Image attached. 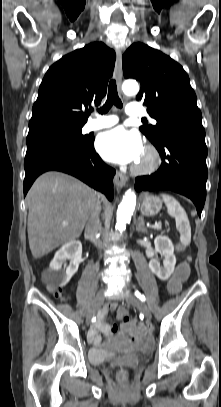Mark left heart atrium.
Masks as SVG:
<instances>
[{
  "label": "left heart atrium",
  "instance_id": "left-heart-atrium-1",
  "mask_svg": "<svg viewBox=\"0 0 221 407\" xmlns=\"http://www.w3.org/2000/svg\"><path fill=\"white\" fill-rule=\"evenodd\" d=\"M96 147L104 159L119 164L138 162L143 154L140 136L122 126L102 133Z\"/></svg>",
  "mask_w": 221,
  "mask_h": 407
}]
</instances>
